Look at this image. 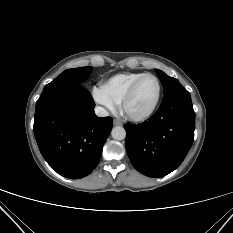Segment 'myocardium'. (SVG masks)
Wrapping results in <instances>:
<instances>
[{"label":"myocardium","mask_w":233,"mask_h":233,"mask_svg":"<svg viewBox=\"0 0 233 233\" xmlns=\"http://www.w3.org/2000/svg\"><path fill=\"white\" fill-rule=\"evenodd\" d=\"M147 77L153 78L157 83L158 90H157V96H156L155 102L148 111H146L142 114H132L127 110V105L129 103V101L132 99V97L134 96L135 91H136L138 85L140 84V82ZM161 92H162V86H161V82H160L159 78L157 76H155L154 74L145 73L142 76H140L138 79H136L132 83V85L130 86L128 91L126 92L124 98L122 99V109L125 112L126 116L130 120L136 121V122L145 121V120L149 119L157 110L159 103H160V100H161Z\"/></svg>","instance_id":"myocardium-1"}]
</instances>
